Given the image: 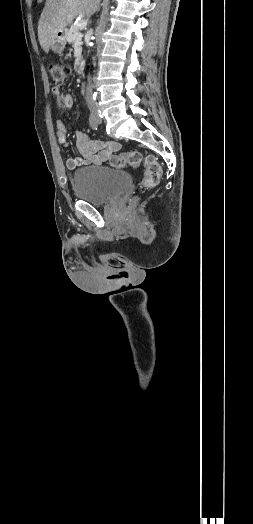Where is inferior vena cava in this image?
<instances>
[{
    "label": "inferior vena cava",
    "mask_w": 253,
    "mask_h": 524,
    "mask_svg": "<svg viewBox=\"0 0 253 524\" xmlns=\"http://www.w3.org/2000/svg\"><path fill=\"white\" fill-rule=\"evenodd\" d=\"M88 85L86 90V103L89 107L95 105V102L93 100V91H92V84L90 79H88Z\"/></svg>",
    "instance_id": "inferior-vena-cava-1"
}]
</instances>
